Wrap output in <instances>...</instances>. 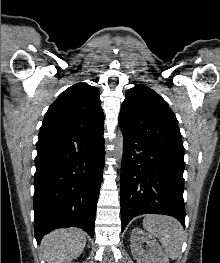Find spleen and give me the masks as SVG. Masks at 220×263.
Returning a JSON list of instances; mask_svg holds the SVG:
<instances>
[{
    "instance_id": "obj_1",
    "label": "spleen",
    "mask_w": 220,
    "mask_h": 263,
    "mask_svg": "<svg viewBox=\"0 0 220 263\" xmlns=\"http://www.w3.org/2000/svg\"><path fill=\"white\" fill-rule=\"evenodd\" d=\"M147 232L159 239L166 255L175 260L181 256L183 228L175 218L162 215H147L143 219Z\"/></svg>"
}]
</instances>
